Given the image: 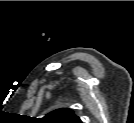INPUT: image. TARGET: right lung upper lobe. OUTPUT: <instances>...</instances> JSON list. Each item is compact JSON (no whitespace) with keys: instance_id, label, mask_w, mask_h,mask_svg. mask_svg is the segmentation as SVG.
<instances>
[{"instance_id":"right-lung-upper-lobe-1","label":"right lung upper lobe","mask_w":134,"mask_h":123,"mask_svg":"<svg viewBox=\"0 0 134 123\" xmlns=\"http://www.w3.org/2000/svg\"><path fill=\"white\" fill-rule=\"evenodd\" d=\"M47 123H81L79 117L70 109L61 108L48 113L42 118Z\"/></svg>"}]
</instances>
